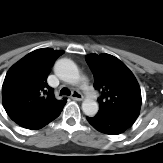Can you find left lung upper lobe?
I'll return each mask as SVG.
<instances>
[{
    "label": "left lung upper lobe",
    "mask_w": 163,
    "mask_h": 163,
    "mask_svg": "<svg viewBox=\"0 0 163 163\" xmlns=\"http://www.w3.org/2000/svg\"><path fill=\"white\" fill-rule=\"evenodd\" d=\"M86 61L94 74V87L100 93L97 115L137 119L141 91L128 67L109 54H90Z\"/></svg>",
    "instance_id": "left-lung-upper-lobe-1"
}]
</instances>
